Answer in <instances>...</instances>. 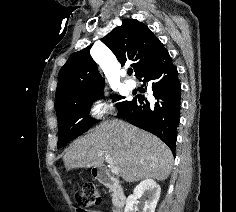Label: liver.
I'll return each instance as SVG.
<instances>
[{"instance_id":"6515ba94","label":"liver","mask_w":236,"mask_h":212,"mask_svg":"<svg viewBox=\"0 0 236 212\" xmlns=\"http://www.w3.org/2000/svg\"><path fill=\"white\" fill-rule=\"evenodd\" d=\"M102 153V155H100ZM109 155L126 182L163 181L171 173L173 156L156 136L122 120L102 122L76 139L63 157L66 170L99 168Z\"/></svg>"}]
</instances>
